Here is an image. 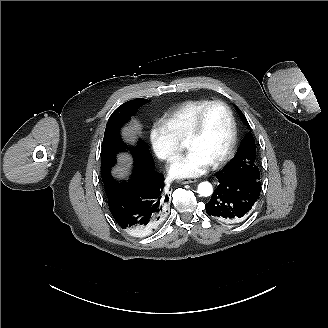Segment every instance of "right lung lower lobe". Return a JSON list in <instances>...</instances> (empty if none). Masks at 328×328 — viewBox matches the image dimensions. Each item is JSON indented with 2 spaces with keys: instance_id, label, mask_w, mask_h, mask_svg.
<instances>
[{
  "instance_id": "obj_1",
  "label": "right lung lower lobe",
  "mask_w": 328,
  "mask_h": 328,
  "mask_svg": "<svg viewBox=\"0 0 328 328\" xmlns=\"http://www.w3.org/2000/svg\"><path fill=\"white\" fill-rule=\"evenodd\" d=\"M164 180L152 161L146 168L136 170L127 182L111 186L106 192L109 210L122 229L142 236L163 217L169 201Z\"/></svg>"
}]
</instances>
